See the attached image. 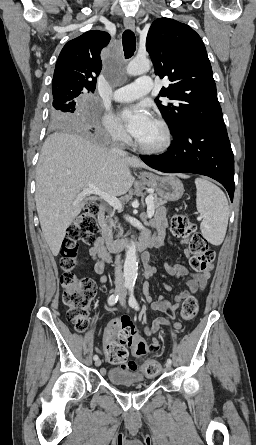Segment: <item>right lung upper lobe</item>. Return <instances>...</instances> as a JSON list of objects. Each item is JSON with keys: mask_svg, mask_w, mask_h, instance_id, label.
<instances>
[{"mask_svg": "<svg viewBox=\"0 0 256 445\" xmlns=\"http://www.w3.org/2000/svg\"><path fill=\"white\" fill-rule=\"evenodd\" d=\"M109 41L108 33L91 30L67 42L55 66L52 93H94L102 69L100 52Z\"/></svg>", "mask_w": 256, "mask_h": 445, "instance_id": "obj_1", "label": "right lung upper lobe"}]
</instances>
